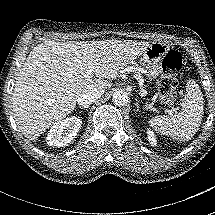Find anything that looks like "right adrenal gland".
<instances>
[{
	"instance_id": "right-adrenal-gland-1",
	"label": "right adrenal gland",
	"mask_w": 215,
	"mask_h": 215,
	"mask_svg": "<svg viewBox=\"0 0 215 215\" xmlns=\"http://www.w3.org/2000/svg\"><path fill=\"white\" fill-rule=\"evenodd\" d=\"M79 108H80V109H83V108H84V109H85V113H86V112L89 110L90 107H89V106H87V107H82V106H80Z\"/></svg>"
}]
</instances>
